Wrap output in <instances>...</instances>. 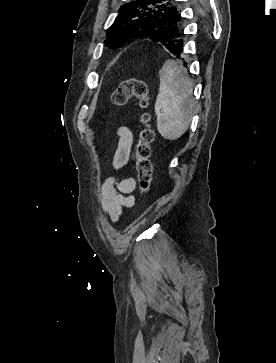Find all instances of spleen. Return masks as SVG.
Instances as JSON below:
<instances>
[{"mask_svg":"<svg viewBox=\"0 0 276 363\" xmlns=\"http://www.w3.org/2000/svg\"><path fill=\"white\" fill-rule=\"evenodd\" d=\"M159 93L155 102L157 130L168 140L180 138L188 129L195 104L187 71L167 60L159 71Z\"/></svg>","mask_w":276,"mask_h":363,"instance_id":"3e777b00","label":"spleen"}]
</instances>
